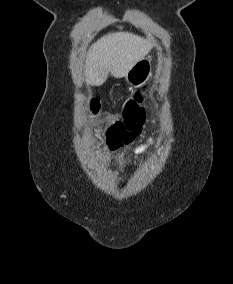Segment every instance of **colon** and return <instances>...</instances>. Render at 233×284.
I'll use <instances>...</instances> for the list:
<instances>
[{
    "instance_id": "obj_1",
    "label": "colon",
    "mask_w": 233,
    "mask_h": 284,
    "mask_svg": "<svg viewBox=\"0 0 233 284\" xmlns=\"http://www.w3.org/2000/svg\"><path fill=\"white\" fill-rule=\"evenodd\" d=\"M143 93H136L124 108L122 118L115 121L107 131V141L110 147L118 148L127 145L137 137L145 122V109L143 106ZM99 106L93 101L91 112L96 114Z\"/></svg>"
}]
</instances>
